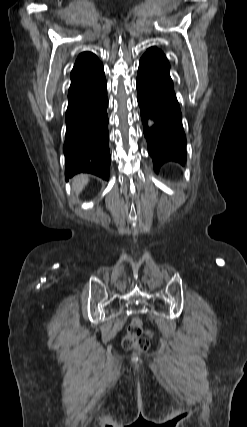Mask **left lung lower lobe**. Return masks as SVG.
Returning <instances> with one entry per match:
<instances>
[{"instance_id":"left-lung-lower-lobe-1","label":"left lung lower lobe","mask_w":247,"mask_h":427,"mask_svg":"<svg viewBox=\"0 0 247 427\" xmlns=\"http://www.w3.org/2000/svg\"><path fill=\"white\" fill-rule=\"evenodd\" d=\"M136 82L144 136L154 169L157 171L169 161L184 164L186 137L169 71L142 56ZM148 119L154 121L152 126H147Z\"/></svg>"}]
</instances>
